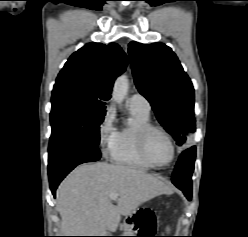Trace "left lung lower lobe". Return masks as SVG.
I'll return each instance as SVG.
<instances>
[{"label": "left lung lower lobe", "instance_id": "obj_1", "mask_svg": "<svg viewBox=\"0 0 248 237\" xmlns=\"http://www.w3.org/2000/svg\"><path fill=\"white\" fill-rule=\"evenodd\" d=\"M194 162L195 147H191L180 155L172 176L173 184L184 193L188 200H191L192 196L191 176L194 170Z\"/></svg>", "mask_w": 248, "mask_h": 237}]
</instances>
